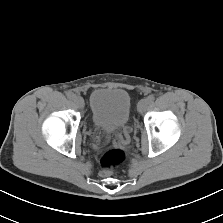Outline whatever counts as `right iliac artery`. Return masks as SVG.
Segmentation results:
<instances>
[{
	"mask_svg": "<svg viewBox=\"0 0 223 223\" xmlns=\"http://www.w3.org/2000/svg\"><path fill=\"white\" fill-rule=\"evenodd\" d=\"M67 97L69 98V99H74V97H75V94L73 93V92H67Z\"/></svg>",
	"mask_w": 223,
	"mask_h": 223,
	"instance_id": "right-iliac-artery-1",
	"label": "right iliac artery"
}]
</instances>
